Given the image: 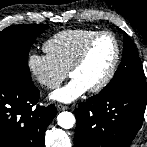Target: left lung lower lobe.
<instances>
[{"instance_id": "obj_1", "label": "left lung lower lobe", "mask_w": 147, "mask_h": 147, "mask_svg": "<svg viewBox=\"0 0 147 147\" xmlns=\"http://www.w3.org/2000/svg\"><path fill=\"white\" fill-rule=\"evenodd\" d=\"M147 92L135 88L99 93L75 110V147H129L140 129Z\"/></svg>"}]
</instances>
